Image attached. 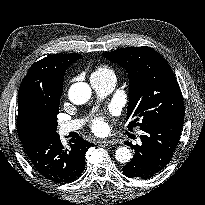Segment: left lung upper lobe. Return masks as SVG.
<instances>
[{
    "instance_id": "5c2ea615",
    "label": "left lung upper lobe",
    "mask_w": 205,
    "mask_h": 205,
    "mask_svg": "<svg viewBox=\"0 0 205 205\" xmlns=\"http://www.w3.org/2000/svg\"><path fill=\"white\" fill-rule=\"evenodd\" d=\"M128 72L130 101L127 116L133 121L129 130H141L174 116H184V103L178 82L169 64L154 49L129 47L103 53Z\"/></svg>"
}]
</instances>
